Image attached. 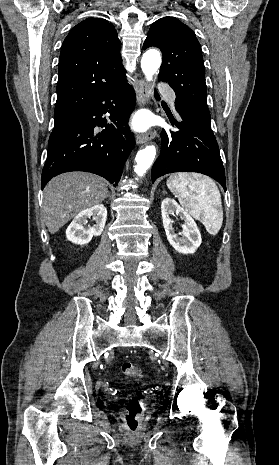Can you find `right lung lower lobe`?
Instances as JSON below:
<instances>
[{
  "mask_svg": "<svg viewBox=\"0 0 279 465\" xmlns=\"http://www.w3.org/2000/svg\"><path fill=\"white\" fill-rule=\"evenodd\" d=\"M135 101L134 90L125 80L72 116L48 144L42 189L52 177L69 171L95 173L117 186L135 145L127 126ZM106 112L109 123L102 117ZM96 126L105 129L97 133Z\"/></svg>",
  "mask_w": 279,
  "mask_h": 465,
  "instance_id": "98d812e1",
  "label": "right lung lower lobe"
}]
</instances>
